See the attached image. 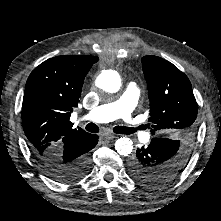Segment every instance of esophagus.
<instances>
[{"label": "esophagus", "mask_w": 221, "mask_h": 221, "mask_svg": "<svg viewBox=\"0 0 221 221\" xmlns=\"http://www.w3.org/2000/svg\"><path fill=\"white\" fill-rule=\"evenodd\" d=\"M117 137H118V135L112 134V133H107V134L104 135V138H106L108 140L115 139Z\"/></svg>", "instance_id": "1"}]
</instances>
